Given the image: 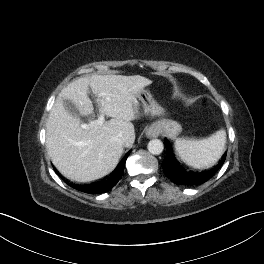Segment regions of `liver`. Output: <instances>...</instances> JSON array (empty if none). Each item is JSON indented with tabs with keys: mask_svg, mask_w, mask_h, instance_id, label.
<instances>
[{
	"mask_svg": "<svg viewBox=\"0 0 264 264\" xmlns=\"http://www.w3.org/2000/svg\"><path fill=\"white\" fill-rule=\"evenodd\" d=\"M152 81L140 76L92 75L67 85L58 95L46 125V147L54 166L70 180L90 182L109 174L118 164L124 149L113 137H124L125 147L135 140L138 95ZM98 98L99 111L109 117L102 125L83 129L80 119L64 106L69 100L80 115L89 116L94 107L88 89ZM103 93L102 96H99Z\"/></svg>",
	"mask_w": 264,
	"mask_h": 264,
	"instance_id": "obj_1",
	"label": "liver"
}]
</instances>
